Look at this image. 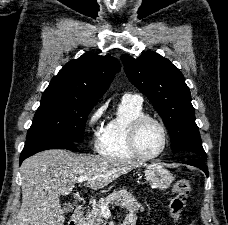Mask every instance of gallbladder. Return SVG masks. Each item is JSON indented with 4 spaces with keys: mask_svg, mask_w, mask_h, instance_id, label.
Segmentation results:
<instances>
[{
    "mask_svg": "<svg viewBox=\"0 0 228 225\" xmlns=\"http://www.w3.org/2000/svg\"><path fill=\"white\" fill-rule=\"evenodd\" d=\"M64 211H73V205L71 203H66L63 207Z\"/></svg>",
    "mask_w": 228,
    "mask_h": 225,
    "instance_id": "bac80fb5",
    "label": "gallbladder"
}]
</instances>
